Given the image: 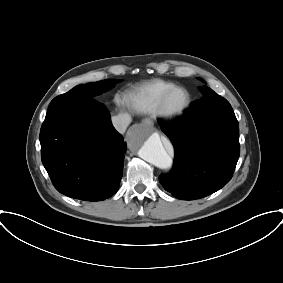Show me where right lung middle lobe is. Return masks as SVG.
<instances>
[{"mask_svg": "<svg viewBox=\"0 0 283 283\" xmlns=\"http://www.w3.org/2000/svg\"><path fill=\"white\" fill-rule=\"evenodd\" d=\"M117 82L119 81L107 79L95 83L76 86L67 93L55 97L51 101L48 110L56 107L57 105L76 104L92 100L93 97L113 88Z\"/></svg>", "mask_w": 283, "mask_h": 283, "instance_id": "obj_1", "label": "right lung middle lobe"}]
</instances>
